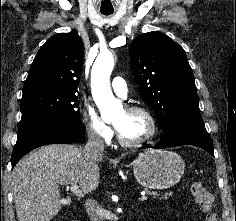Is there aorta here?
I'll use <instances>...</instances> for the list:
<instances>
[{
  "label": "aorta",
  "mask_w": 236,
  "mask_h": 221,
  "mask_svg": "<svg viewBox=\"0 0 236 221\" xmlns=\"http://www.w3.org/2000/svg\"><path fill=\"white\" fill-rule=\"evenodd\" d=\"M114 67L112 53H101L92 68L91 88L93 98L103 119H112L123 113L122 103L113 96L109 79Z\"/></svg>",
  "instance_id": "obj_1"
}]
</instances>
